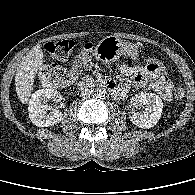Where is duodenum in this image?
Returning a JSON list of instances; mask_svg holds the SVG:
<instances>
[{
  "label": "duodenum",
  "instance_id": "obj_1",
  "mask_svg": "<svg viewBox=\"0 0 195 195\" xmlns=\"http://www.w3.org/2000/svg\"><path fill=\"white\" fill-rule=\"evenodd\" d=\"M78 87L82 90L86 89V88H91V87H101V88L108 90L112 94H115L118 90V87L116 86V84L113 81L106 80V81L94 82L88 78L82 79L78 83Z\"/></svg>",
  "mask_w": 195,
  "mask_h": 195
}]
</instances>
